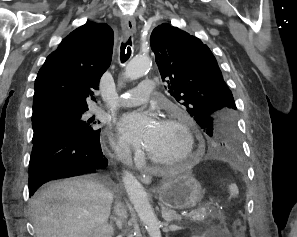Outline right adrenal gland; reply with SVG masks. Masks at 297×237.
I'll return each mask as SVG.
<instances>
[{"mask_svg": "<svg viewBox=\"0 0 297 237\" xmlns=\"http://www.w3.org/2000/svg\"><path fill=\"white\" fill-rule=\"evenodd\" d=\"M110 219L112 222H115L118 229H122V221L119 218L111 216Z\"/></svg>", "mask_w": 297, "mask_h": 237, "instance_id": "2a0ac1e0", "label": "right adrenal gland"}]
</instances>
